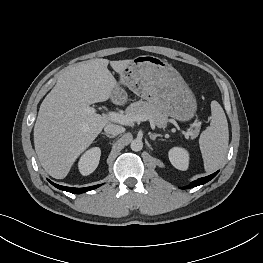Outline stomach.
Instances as JSON below:
<instances>
[{"mask_svg": "<svg viewBox=\"0 0 263 263\" xmlns=\"http://www.w3.org/2000/svg\"><path fill=\"white\" fill-rule=\"evenodd\" d=\"M120 82L178 121H189L196 113L194 94L179 72L163 59L137 56L121 73ZM113 93L121 100L126 98L125 90L120 87Z\"/></svg>", "mask_w": 263, "mask_h": 263, "instance_id": "0dacf381", "label": "stomach"}]
</instances>
